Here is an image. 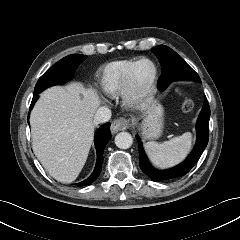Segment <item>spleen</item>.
Instances as JSON below:
<instances>
[{"label": "spleen", "mask_w": 240, "mask_h": 240, "mask_svg": "<svg viewBox=\"0 0 240 240\" xmlns=\"http://www.w3.org/2000/svg\"><path fill=\"white\" fill-rule=\"evenodd\" d=\"M191 146L192 134L186 132L163 143L147 142L145 151L155 166L168 168L185 159L191 150Z\"/></svg>", "instance_id": "obj_1"}]
</instances>
